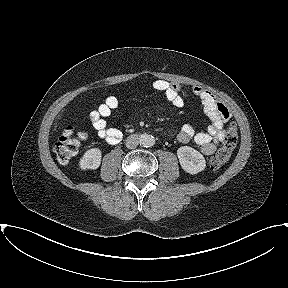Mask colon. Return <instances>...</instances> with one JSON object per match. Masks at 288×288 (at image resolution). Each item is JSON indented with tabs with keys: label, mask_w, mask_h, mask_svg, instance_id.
I'll list each match as a JSON object with an SVG mask.
<instances>
[{
	"label": "colon",
	"mask_w": 288,
	"mask_h": 288,
	"mask_svg": "<svg viewBox=\"0 0 288 288\" xmlns=\"http://www.w3.org/2000/svg\"><path fill=\"white\" fill-rule=\"evenodd\" d=\"M85 135L77 132L74 126H68L55 141L53 149L59 162L67 163L77 153ZM238 143V131L235 123H231L223 137L222 147L209 159L212 169H218L231 157Z\"/></svg>",
	"instance_id": "colon-1"
}]
</instances>
